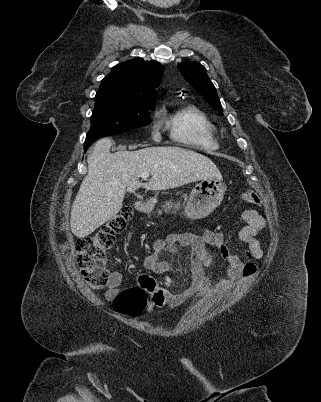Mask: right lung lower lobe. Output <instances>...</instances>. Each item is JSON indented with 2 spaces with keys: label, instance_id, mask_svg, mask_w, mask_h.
Segmentation results:
<instances>
[{
  "label": "right lung lower lobe",
  "instance_id": "obj_1",
  "mask_svg": "<svg viewBox=\"0 0 321 402\" xmlns=\"http://www.w3.org/2000/svg\"><path fill=\"white\" fill-rule=\"evenodd\" d=\"M93 142H86L84 143V151L86 152V150L89 148V146L92 144Z\"/></svg>",
  "mask_w": 321,
  "mask_h": 402
}]
</instances>
